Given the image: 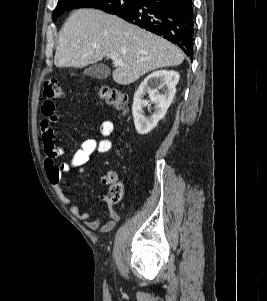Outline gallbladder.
Segmentation results:
<instances>
[{
	"mask_svg": "<svg viewBox=\"0 0 267 301\" xmlns=\"http://www.w3.org/2000/svg\"><path fill=\"white\" fill-rule=\"evenodd\" d=\"M84 75L90 76L94 79H106L110 75L109 68L104 64H94L84 69Z\"/></svg>",
	"mask_w": 267,
	"mask_h": 301,
	"instance_id": "1",
	"label": "gallbladder"
}]
</instances>
